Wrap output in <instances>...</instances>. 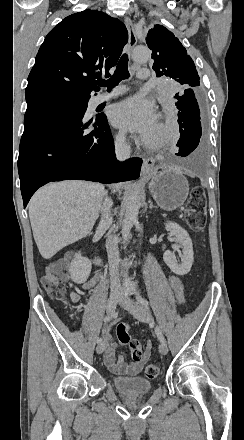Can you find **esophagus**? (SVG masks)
Instances as JSON below:
<instances>
[{
  "instance_id": "34e87169",
  "label": "esophagus",
  "mask_w": 244,
  "mask_h": 440,
  "mask_svg": "<svg viewBox=\"0 0 244 440\" xmlns=\"http://www.w3.org/2000/svg\"><path fill=\"white\" fill-rule=\"evenodd\" d=\"M124 22H125L126 28L128 30V35H129V41H128V45L125 48V51L128 54V56H130L133 48L135 47V45L137 43V37H136V33H135V28H134V25H133V22L131 21V19L128 16H126ZM154 165H155V159L153 157L144 158L142 168H141L142 174L143 175L148 174L150 169Z\"/></svg>"
}]
</instances>
